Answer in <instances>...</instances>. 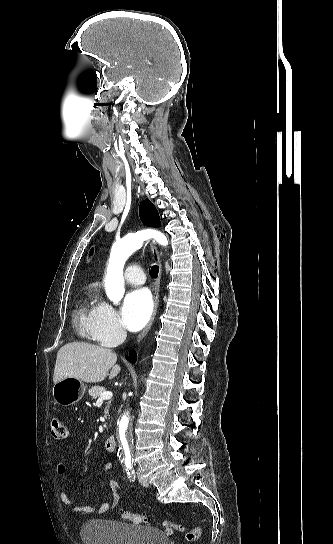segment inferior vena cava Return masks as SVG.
Wrapping results in <instances>:
<instances>
[{"instance_id": "602c4592", "label": "inferior vena cava", "mask_w": 333, "mask_h": 544, "mask_svg": "<svg viewBox=\"0 0 333 544\" xmlns=\"http://www.w3.org/2000/svg\"><path fill=\"white\" fill-rule=\"evenodd\" d=\"M126 339V332L124 330H121L120 332V340L124 341Z\"/></svg>"}]
</instances>
